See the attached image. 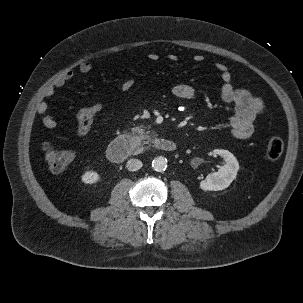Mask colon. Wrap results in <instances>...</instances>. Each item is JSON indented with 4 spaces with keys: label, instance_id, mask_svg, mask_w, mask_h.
Segmentation results:
<instances>
[{
    "label": "colon",
    "instance_id": "colon-1",
    "mask_svg": "<svg viewBox=\"0 0 303 303\" xmlns=\"http://www.w3.org/2000/svg\"><path fill=\"white\" fill-rule=\"evenodd\" d=\"M101 108V100L95 99L81 110L77 118V135L79 137H83L89 132ZM283 149V140L280 136L274 135L267 143L266 156L271 161L277 160L282 155ZM42 150L48 167L54 174L63 172L75 158V152L72 149L61 148L52 143H44Z\"/></svg>",
    "mask_w": 303,
    "mask_h": 303
}]
</instances>
